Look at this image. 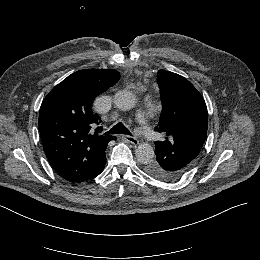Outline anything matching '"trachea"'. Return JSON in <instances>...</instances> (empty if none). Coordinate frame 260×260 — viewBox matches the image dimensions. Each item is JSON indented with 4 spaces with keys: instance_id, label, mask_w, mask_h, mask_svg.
Returning a JSON list of instances; mask_svg holds the SVG:
<instances>
[{
    "instance_id": "trachea-1",
    "label": "trachea",
    "mask_w": 260,
    "mask_h": 260,
    "mask_svg": "<svg viewBox=\"0 0 260 260\" xmlns=\"http://www.w3.org/2000/svg\"><path fill=\"white\" fill-rule=\"evenodd\" d=\"M105 135H114V134H127V135H132L130 131L121 123L119 122L113 128H111L109 131L104 133Z\"/></svg>"
}]
</instances>
